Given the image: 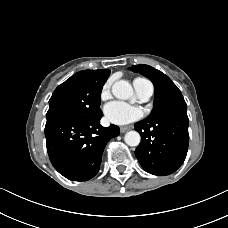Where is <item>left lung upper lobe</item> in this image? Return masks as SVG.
<instances>
[{
	"label": "left lung upper lobe",
	"instance_id": "obj_1",
	"mask_svg": "<svg viewBox=\"0 0 228 228\" xmlns=\"http://www.w3.org/2000/svg\"><path fill=\"white\" fill-rule=\"evenodd\" d=\"M131 70L146 76L155 87L154 108L151 114L144 119L145 122L155 121L162 115L187 104L178 87L161 71L149 65H133Z\"/></svg>",
	"mask_w": 228,
	"mask_h": 228
}]
</instances>
